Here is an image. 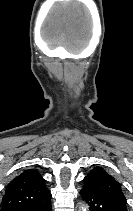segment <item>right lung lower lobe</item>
<instances>
[{"label":"right lung lower lobe","mask_w":133,"mask_h":211,"mask_svg":"<svg viewBox=\"0 0 133 211\" xmlns=\"http://www.w3.org/2000/svg\"><path fill=\"white\" fill-rule=\"evenodd\" d=\"M50 198H51V195L49 198H47L43 202L29 207L26 211H52Z\"/></svg>","instance_id":"1"}]
</instances>
